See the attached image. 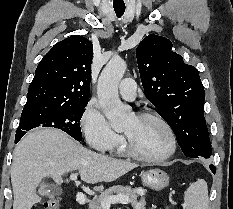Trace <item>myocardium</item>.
Listing matches in <instances>:
<instances>
[{
    "label": "myocardium",
    "instance_id": "1",
    "mask_svg": "<svg viewBox=\"0 0 233 209\" xmlns=\"http://www.w3.org/2000/svg\"><path fill=\"white\" fill-rule=\"evenodd\" d=\"M135 116L137 118H152L158 121L164 127V129L166 130L168 134L169 146L166 152L162 155L155 156V157L145 156L134 148L129 137L126 134H124L123 135V138H124L123 147L127 155L134 158L135 160H138L144 163H151V164L161 163V162L168 160L174 154L176 150V146H177L176 136L169 122L164 117H162L159 113L152 111V110L140 111Z\"/></svg>",
    "mask_w": 233,
    "mask_h": 209
}]
</instances>
